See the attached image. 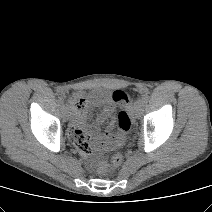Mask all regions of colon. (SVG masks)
<instances>
[{
	"instance_id": "obj_1",
	"label": "colon",
	"mask_w": 212,
	"mask_h": 212,
	"mask_svg": "<svg viewBox=\"0 0 212 212\" xmlns=\"http://www.w3.org/2000/svg\"><path fill=\"white\" fill-rule=\"evenodd\" d=\"M112 98L115 102L121 103L122 105L129 106L130 104V97L129 95L123 90H116L113 92ZM70 107L73 112L80 113L85 111L86 103L83 99L76 97L70 101ZM133 120L130 113L126 110H122L118 114L117 119V127L120 132L119 138L121 139V143L124 140V136L130 132L132 129ZM81 150L85 149V146L79 142H74ZM123 161V157L120 153H116L112 156L110 165L107 164H100L97 171L100 175H105L109 172L110 167H118Z\"/></svg>"
}]
</instances>
